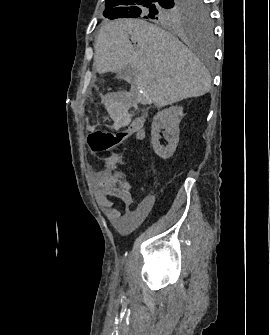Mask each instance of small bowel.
Wrapping results in <instances>:
<instances>
[{
	"mask_svg": "<svg viewBox=\"0 0 270 335\" xmlns=\"http://www.w3.org/2000/svg\"><path fill=\"white\" fill-rule=\"evenodd\" d=\"M136 125L141 131L142 121L137 120ZM124 157L117 155L108 162L103 160L97 162L96 167L100 169L96 175L98 191L96 198L102 205L103 212L111 224L120 231L126 232L138 225L142 220V213L134 208V199L131 186L122 182L112 175L119 166L123 165ZM129 169H140V162H129ZM118 178H131V171H118ZM115 201H118L117 204Z\"/></svg>",
	"mask_w": 270,
	"mask_h": 335,
	"instance_id": "1",
	"label": "small bowel"
}]
</instances>
